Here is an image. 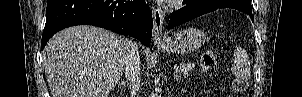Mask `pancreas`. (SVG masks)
I'll return each instance as SVG.
<instances>
[{"label": "pancreas", "instance_id": "cf45deb5", "mask_svg": "<svg viewBox=\"0 0 302 97\" xmlns=\"http://www.w3.org/2000/svg\"><path fill=\"white\" fill-rule=\"evenodd\" d=\"M195 63L192 62H183L178 65V72L182 73L183 76L187 77L194 70Z\"/></svg>", "mask_w": 302, "mask_h": 97}]
</instances>
